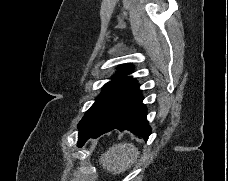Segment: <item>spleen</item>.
<instances>
[{
    "label": "spleen",
    "instance_id": "spleen-1",
    "mask_svg": "<svg viewBox=\"0 0 228 181\" xmlns=\"http://www.w3.org/2000/svg\"><path fill=\"white\" fill-rule=\"evenodd\" d=\"M138 155L139 151L134 147L133 143H118V145H113L106 153H103L99 161L101 167L106 169L108 173L121 175V173H124V171L134 165Z\"/></svg>",
    "mask_w": 228,
    "mask_h": 181
}]
</instances>
